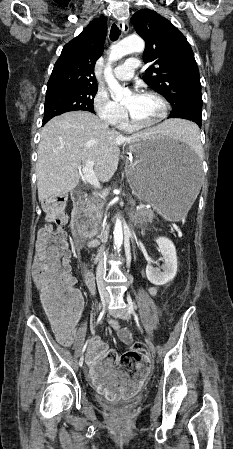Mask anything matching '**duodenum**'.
I'll return each mask as SVG.
<instances>
[{
	"mask_svg": "<svg viewBox=\"0 0 233 449\" xmlns=\"http://www.w3.org/2000/svg\"><path fill=\"white\" fill-rule=\"evenodd\" d=\"M86 196L84 193H75L72 196V200H73V204H74V209L72 212V225L74 227V229H78L81 227L82 225V214H81V206L83 205V202L85 201ZM105 255V248H102L101 250H99L96 255H95V260L96 261H100L104 258ZM85 272H89V271H85Z\"/></svg>",
	"mask_w": 233,
	"mask_h": 449,
	"instance_id": "obj_1",
	"label": "duodenum"
}]
</instances>
